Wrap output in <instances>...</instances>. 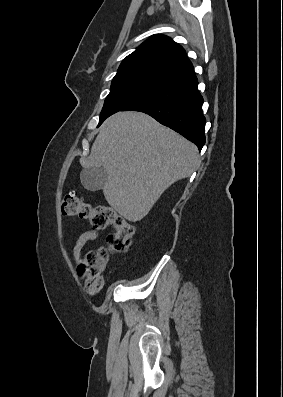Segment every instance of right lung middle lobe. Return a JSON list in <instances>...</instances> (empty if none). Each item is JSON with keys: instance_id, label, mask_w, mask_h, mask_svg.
<instances>
[{"instance_id": "obj_1", "label": "right lung middle lobe", "mask_w": 283, "mask_h": 397, "mask_svg": "<svg viewBox=\"0 0 283 397\" xmlns=\"http://www.w3.org/2000/svg\"><path fill=\"white\" fill-rule=\"evenodd\" d=\"M167 84L143 72L116 74L100 114L99 125L112 114Z\"/></svg>"}]
</instances>
